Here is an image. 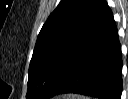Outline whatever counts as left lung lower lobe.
I'll use <instances>...</instances> for the list:
<instances>
[{
	"label": "left lung lower lobe",
	"instance_id": "1",
	"mask_svg": "<svg viewBox=\"0 0 128 99\" xmlns=\"http://www.w3.org/2000/svg\"><path fill=\"white\" fill-rule=\"evenodd\" d=\"M121 72V45L108 7L85 43L64 64L47 99L63 93L121 99Z\"/></svg>",
	"mask_w": 128,
	"mask_h": 99
}]
</instances>
